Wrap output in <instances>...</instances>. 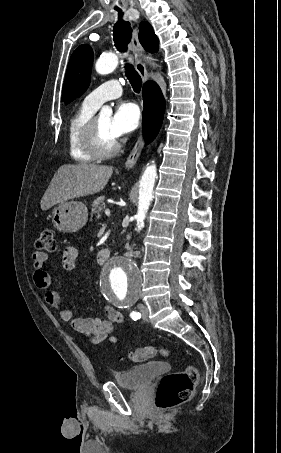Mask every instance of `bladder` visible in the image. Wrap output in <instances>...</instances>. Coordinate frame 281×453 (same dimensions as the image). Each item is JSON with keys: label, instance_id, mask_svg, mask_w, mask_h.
Segmentation results:
<instances>
[{"label": "bladder", "instance_id": "obj_1", "mask_svg": "<svg viewBox=\"0 0 281 453\" xmlns=\"http://www.w3.org/2000/svg\"><path fill=\"white\" fill-rule=\"evenodd\" d=\"M170 366L164 362H151L121 371L116 376V383L128 389H140L150 384L156 377L168 373Z\"/></svg>", "mask_w": 281, "mask_h": 453}]
</instances>
